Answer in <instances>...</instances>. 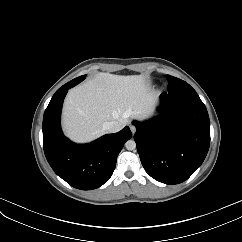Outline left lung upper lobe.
<instances>
[{
    "instance_id": "obj_1",
    "label": "left lung upper lobe",
    "mask_w": 242,
    "mask_h": 242,
    "mask_svg": "<svg viewBox=\"0 0 242 242\" xmlns=\"http://www.w3.org/2000/svg\"><path fill=\"white\" fill-rule=\"evenodd\" d=\"M168 80V92L171 93H182V92H194L195 90L185 81L167 75Z\"/></svg>"
}]
</instances>
